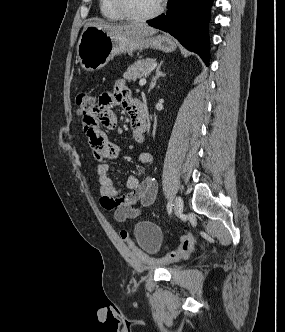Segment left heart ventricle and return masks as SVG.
Wrapping results in <instances>:
<instances>
[{
	"label": "left heart ventricle",
	"instance_id": "left-heart-ventricle-1",
	"mask_svg": "<svg viewBox=\"0 0 285 332\" xmlns=\"http://www.w3.org/2000/svg\"><path fill=\"white\" fill-rule=\"evenodd\" d=\"M130 10L137 15L153 12L159 5L158 0H126Z\"/></svg>",
	"mask_w": 285,
	"mask_h": 332
}]
</instances>
